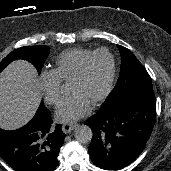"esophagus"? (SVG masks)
<instances>
[{
    "instance_id": "34e87169",
    "label": "esophagus",
    "mask_w": 171,
    "mask_h": 171,
    "mask_svg": "<svg viewBox=\"0 0 171 171\" xmlns=\"http://www.w3.org/2000/svg\"><path fill=\"white\" fill-rule=\"evenodd\" d=\"M77 126V123H65L62 125V131L66 134L72 132Z\"/></svg>"
}]
</instances>
